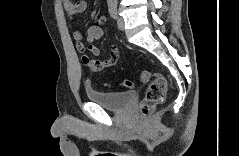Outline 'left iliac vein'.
Masks as SVG:
<instances>
[{"label":"left iliac vein","instance_id":"1","mask_svg":"<svg viewBox=\"0 0 239 156\" xmlns=\"http://www.w3.org/2000/svg\"><path fill=\"white\" fill-rule=\"evenodd\" d=\"M117 26L120 30H124V19L122 17L117 18Z\"/></svg>","mask_w":239,"mask_h":156}]
</instances>
